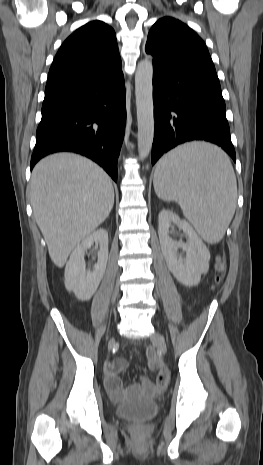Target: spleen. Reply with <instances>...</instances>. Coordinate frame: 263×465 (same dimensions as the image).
Instances as JSON below:
<instances>
[{
	"mask_svg": "<svg viewBox=\"0 0 263 465\" xmlns=\"http://www.w3.org/2000/svg\"><path fill=\"white\" fill-rule=\"evenodd\" d=\"M154 190L176 201L202 239L217 243L233 218L237 182L228 156L207 143L179 146L157 163Z\"/></svg>",
	"mask_w": 263,
	"mask_h": 465,
	"instance_id": "3e777b00",
	"label": "spleen"
}]
</instances>
